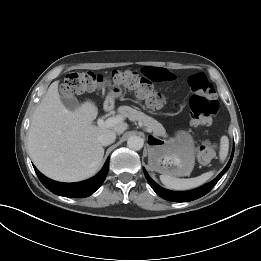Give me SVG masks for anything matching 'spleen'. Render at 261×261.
<instances>
[{"mask_svg":"<svg viewBox=\"0 0 261 261\" xmlns=\"http://www.w3.org/2000/svg\"><path fill=\"white\" fill-rule=\"evenodd\" d=\"M228 149H229L228 137L222 136L220 141V151H219V157L221 161H224L226 159L228 155ZM213 174H214L213 171H209L201 174L198 177L189 178V179H179L176 177L162 174L160 175V180L162 184H164L168 189L188 190L204 184L207 180H209L212 177Z\"/></svg>","mask_w":261,"mask_h":261,"instance_id":"3e777b00","label":"spleen"}]
</instances>
